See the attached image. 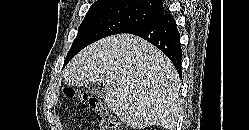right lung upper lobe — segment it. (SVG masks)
Wrapping results in <instances>:
<instances>
[{"label": "right lung upper lobe", "instance_id": "obj_1", "mask_svg": "<svg viewBox=\"0 0 249 130\" xmlns=\"http://www.w3.org/2000/svg\"><path fill=\"white\" fill-rule=\"evenodd\" d=\"M100 4H119L125 6H134L144 10L156 12L160 16L165 14L162 0H98L93 5Z\"/></svg>", "mask_w": 249, "mask_h": 130}]
</instances>
